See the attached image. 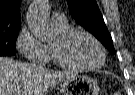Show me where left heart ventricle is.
Listing matches in <instances>:
<instances>
[{
	"label": "left heart ventricle",
	"instance_id": "b2bd125f",
	"mask_svg": "<svg viewBox=\"0 0 135 95\" xmlns=\"http://www.w3.org/2000/svg\"><path fill=\"white\" fill-rule=\"evenodd\" d=\"M52 46L59 49L64 59L75 64L93 66L101 60L100 51L96 44L83 35L74 37L66 44H61L58 38Z\"/></svg>",
	"mask_w": 135,
	"mask_h": 95
}]
</instances>
